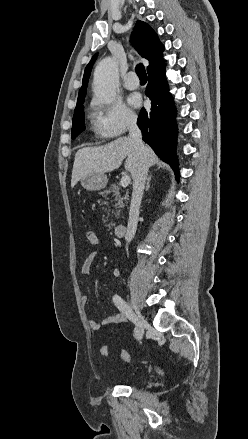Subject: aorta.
<instances>
[{
    "label": "aorta",
    "mask_w": 248,
    "mask_h": 439,
    "mask_svg": "<svg viewBox=\"0 0 248 439\" xmlns=\"http://www.w3.org/2000/svg\"><path fill=\"white\" fill-rule=\"evenodd\" d=\"M118 78V67L114 58L107 57L96 66L93 89L101 102L111 104L115 100Z\"/></svg>",
    "instance_id": "762f6f07"
}]
</instances>
